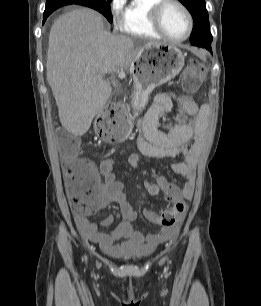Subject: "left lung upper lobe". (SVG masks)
I'll use <instances>...</instances> for the list:
<instances>
[{"instance_id":"left-lung-upper-lobe-1","label":"left lung upper lobe","mask_w":261,"mask_h":306,"mask_svg":"<svg viewBox=\"0 0 261 306\" xmlns=\"http://www.w3.org/2000/svg\"><path fill=\"white\" fill-rule=\"evenodd\" d=\"M190 11L194 27L190 36L192 45L211 48L212 35L209 31V19L205 0H179Z\"/></svg>"}]
</instances>
